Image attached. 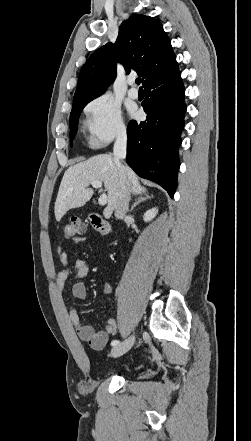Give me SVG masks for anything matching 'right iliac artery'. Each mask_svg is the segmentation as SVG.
<instances>
[{
  "label": "right iliac artery",
  "mask_w": 251,
  "mask_h": 441,
  "mask_svg": "<svg viewBox=\"0 0 251 441\" xmlns=\"http://www.w3.org/2000/svg\"><path fill=\"white\" fill-rule=\"evenodd\" d=\"M120 344V341L119 340H113L112 342H111V345L112 346H117V345H119Z\"/></svg>",
  "instance_id": "obj_1"
}]
</instances>
